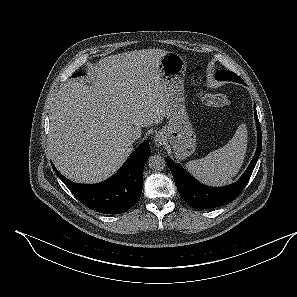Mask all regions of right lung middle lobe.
Instances as JSON below:
<instances>
[{
  "label": "right lung middle lobe",
  "instance_id": "right-lung-middle-lobe-1",
  "mask_svg": "<svg viewBox=\"0 0 297 297\" xmlns=\"http://www.w3.org/2000/svg\"><path fill=\"white\" fill-rule=\"evenodd\" d=\"M81 75H82V73H75V74L72 75V77H78V76H81Z\"/></svg>",
  "mask_w": 297,
  "mask_h": 297
}]
</instances>
